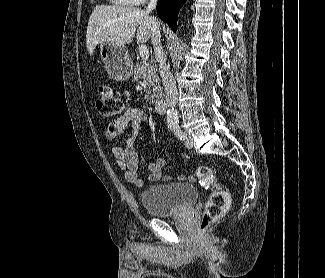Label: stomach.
I'll return each instance as SVG.
<instances>
[{
  "label": "stomach",
  "instance_id": "1",
  "mask_svg": "<svg viewBox=\"0 0 325 278\" xmlns=\"http://www.w3.org/2000/svg\"><path fill=\"white\" fill-rule=\"evenodd\" d=\"M101 60L111 78L117 81H125L132 75V62L128 57L125 45L112 43H99Z\"/></svg>",
  "mask_w": 325,
  "mask_h": 278
}]
</instances>
